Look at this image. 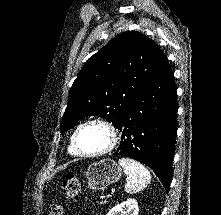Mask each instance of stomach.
<instances>
[{
    "mask_svg": "<svg viewBox=\"0 0 221 215\" xmlns=\"http://www.w3.org/2000/svg\"><path fill=\"white\" fill-rule=\"evenodd\" d=\"M121 174V167L113 160L95 162L86 171L88 187L92 190H104L110 184L117 182Z\"/></svg>",
    "mask_w": 221,
    "mask_h": 215,
    "instance_id": "obj_1",
    "label": "stomach"
}]
</instances>
